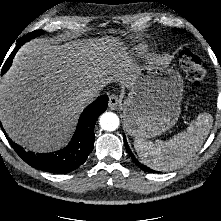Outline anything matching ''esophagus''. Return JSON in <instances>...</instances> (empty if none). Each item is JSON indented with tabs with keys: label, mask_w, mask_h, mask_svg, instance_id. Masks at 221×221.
Wrapping results in <instances>:
<instances>
[{
	"label": "esophagus",
	"mask_w": 221,
	"mask_h": 221,
	"mask_svg": "<svg viewBox=\"0 0 221 221\" xmlns=\"http://www.w3.org/2000/svg\"><path fill=\"white\" fill-rule=\"evenodd\" d=\"M120 101H119V98L118 96L112 94L110 95L109 97V108L112 109V110H115L118 105H119Z\"/></svg>",
	"instance_id": "34e87169"
}]
</instances>
